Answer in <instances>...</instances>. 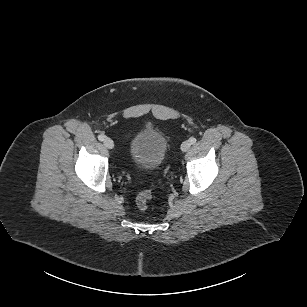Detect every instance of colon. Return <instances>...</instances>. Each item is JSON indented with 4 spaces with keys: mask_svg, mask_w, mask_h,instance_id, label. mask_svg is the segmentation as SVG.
Listing matches in <instances>:
<instances>
[{
    "mask_svg": "<svg viewBox=\"0 0 307 307\" xmlns=\"http://www.w3.org/2000/svg\"><path fill=\"white\" fill-rule=\"evenodd\" d=\"M150 200L151 193L149 191H143L136 197V207L140 211H144L147 209Z\"/></svg>",
    "mask_w": 307,
    "mask_h": 307,
    "instance_id": "1",
    "label": "colon"
}]
</instances>
